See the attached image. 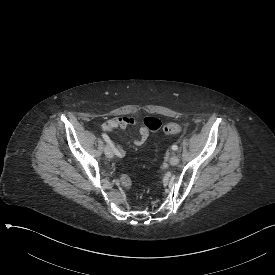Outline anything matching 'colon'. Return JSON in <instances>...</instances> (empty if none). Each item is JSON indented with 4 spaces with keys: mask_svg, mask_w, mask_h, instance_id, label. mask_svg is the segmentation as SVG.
I'll return each mask as SVG.
<instances>
[{
    "mask_svg": "<svg viewBox=\"0 0 275 275\" xmlns=\"http://www.w3.org/2000/svg\"><path fill=\"white\" fill-rule=\"evenodd\" d=\"M182 131V127L179 124L169 123L163 126V132L165 134H179ZM120 184L126 188H130L133 184L129 175H123L120 178Z\"/></svg>",
    "mask_w": 275,
    "mask_h": 275,
    "instance_id": "1",
    "label": "colon"
}]
</instances>
